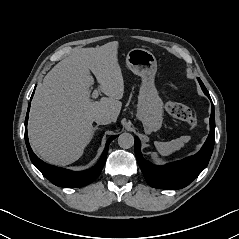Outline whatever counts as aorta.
I'll return each mask as SVG.
<instances>
[{"label": "aorta", "mask_w": 239, "mask_h": 239, "mask_svg": "<svg viewBox=\"0 0 239 239\" xmlns=\"http://www.w3.org/2000/svg\"><path fill=\"white\" fill-rule=\"evenodd\" d=\"M118 145L121 148L129 149L134 145V137L132 134L124 132L118 137Z\"/></svg>", "instance_id": "obj_1"}]
</instances>
